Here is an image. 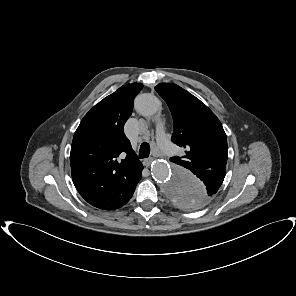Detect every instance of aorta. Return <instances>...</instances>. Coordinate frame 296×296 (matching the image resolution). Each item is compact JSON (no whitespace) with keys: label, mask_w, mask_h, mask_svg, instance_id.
Returning <instances> with one entry per match:
<instances>
[{"label":"aorta","mask_w":296,"mask_h":296,"mask_svg":"<svg viewBox=\"0 0 296 296\" xmlns=\"http://www.w3.org/2000/svg\"><path fill=\"white\" fill-rule=\"evenodd\" d=\"M136 111L145 117H155L161 109L160 100L149 93L136 97ZM154 179L161 184L166 199L179 209L193 211L204 202L205 190L203 184L184 166L158 160L151 167Z\"/></svg>","instance_id":"1"}]
</instances>
